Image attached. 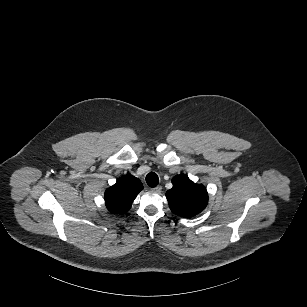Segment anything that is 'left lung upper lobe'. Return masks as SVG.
<instances>
[{"mask_svg": "<svg viewBox=\"0 0 307 307\" xmlns=\"http://www.w3.org/2000/svg\"><path fill=\"white\" fill-rule=\"evenodd\" d=\"M173 187L166 192L171 211L181 217H193L203 211L208 194L203 185L195 184L185 174L172 179Z\"/></svg>", "mask_w": 307, "mask_h": 307, "instance_id": "5c2ea615", "label": "left lung upper lobe"}]
</instances>
